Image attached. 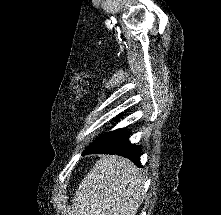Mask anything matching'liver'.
I'll return each instance as SVG.
<instances>
[{
	"label": "liver",
	"mask_w": 221,
	"mask_h": 215,
	"mask_svg": "<svg viewBox=\"0 0 221 215\" xmlns=\"http://www.w3.org/2000/svg\"><path fill=\"white\" fill-rule=\"evenodd\" d=\"M143 177L127 158L103 155L82 180L68 215H136Z\"/></svg>",
	"instance_id": "obj_1"
}]
</instances>
